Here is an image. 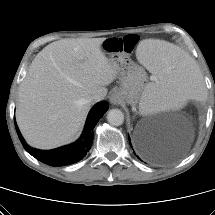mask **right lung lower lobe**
<instances>
[{"mask_svg":"<svg viewBox=\"0 0 215 215\" xmlns=\"http://www.w3.org/2000/svg\"><path fill=\"white\" fill-rule=\"evenodd\" d=\"M108 107L109 105L107 101H101L97 103L89 112L84 131L79 140H77L75 143L71 145L49 151L38 150L28 146L24 141L16 123L15 127L23 147L29 154H31L37 160L53 167L70 165L72 163H76L82 160L86 156L93 141L92 130L94 129L99 119L107 111Z\"/></svg>","mask_w":215,"mask_h":215,"instance_id":"98d812e1","label":"right lung lower lobe"}]
</instances>
